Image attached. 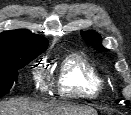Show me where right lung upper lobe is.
I'll use <instances>...</instances> for the list:
<instances>
[{"instance_id":"1","label":"right lung upper lobe","mask_w":131,"mask_h":115,"mask_svg":"<svg viewBox=\"0 0 131 115\" xmlns=\"http://www.w3.org/2000/svg\"><path fill=\"white\" fill-rule=\"evenodd\" d=\"M46 39L27 29L5 31L0 34V66L24 53H42L47 49Z\"/></svg>"}]
</instances>
